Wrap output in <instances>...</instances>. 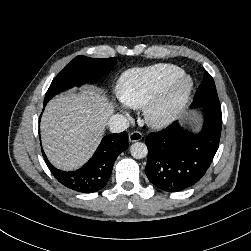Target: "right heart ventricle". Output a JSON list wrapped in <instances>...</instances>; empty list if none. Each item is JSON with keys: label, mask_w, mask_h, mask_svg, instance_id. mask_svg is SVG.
I'll return each instance as SVG.
<instances>
[{"label": "right heart ventricle", "mask_w": 251, "mask_h": 251, "mask_svg": "<svg viewBox=\"0 0 251 251\" xmlns=\"http://www.w3.org/2000/svg\"><path fill=\"white\" fill-rule=\"evenodd\" d=\"M182 74L183 70L179 66L166 63L130 69L119 77L116 93L124 105L141 108Z\"/></svg>", "instance_id": "right-heart-ventricle-1"}]
</instances>
